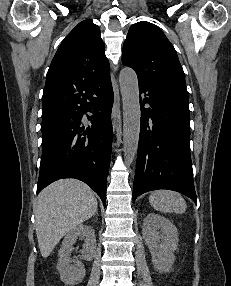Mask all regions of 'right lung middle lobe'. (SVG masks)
<instances>
[{
    "label": "right lung middle lobe",
    "mask_w": 231,
    "mask_h": 286,
    "mask_svg": "<svg viewBox=\"0 0 231 286\" xmlns=\"http://www.w3.org/2000/svg\"><path fill=\"white\" fill-rule=\"evenodd\" d=\"M55 114V110H43L42 119L48 118Z\"/></svg>",
    "instance_id": "dd1d6c3e"
}]
</instances>
